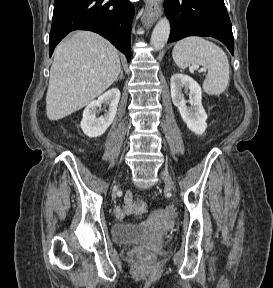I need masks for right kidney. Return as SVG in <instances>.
I'll list each match as a JSON object with an SVG mask.
<instances>
[{
	"label": "right kidney",
	"mask_w": 273,
	"mask_h": 288,
	"mask_svg": "<svg viewBox=\"0 0 273 288\" xmlns=\"http://www.w3.org/2000/svg\"><path fill=\"white\" fill-rule=\"evenodd\" d=\"M120 99V91L118 88H112L105 92L88 104L83 112V118L81 120V129L84 134L90 138L99 137L103 135L109 126L113 123L117 107ZM104 104L109 109L104 116L96 117L98 108Z\"/></svg>",
	"instance_id": "1"
}]
</instances>
